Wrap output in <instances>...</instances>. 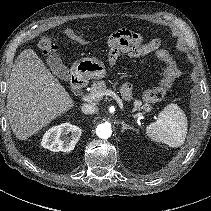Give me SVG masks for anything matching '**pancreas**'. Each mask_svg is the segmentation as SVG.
<instances>
[{"instance_id":"obj_1","label":"pancreas","mask_w":211,"mask_h":211,"mask_svg":"<svg viewBox=\"0 0 211 211\" xmlns=\"http://www.w3.org/2000/svg\"><path fill=\"white\" fill-rule=\"evenodd\" d=\"M108 90L109 89L107 88L105 81L103 80L95 81L91 85L89 96L94 97L93 101L98 102L103 98V96L105 95L104 93L107 92ZM133 105H134L133 112L141 110L150 112L152 109V106L148 102L142 103V101L138 99L134 100Z\"/></svg>"}]
</instances>
